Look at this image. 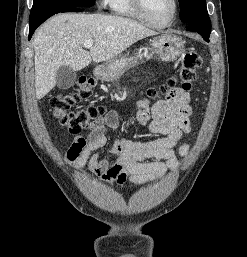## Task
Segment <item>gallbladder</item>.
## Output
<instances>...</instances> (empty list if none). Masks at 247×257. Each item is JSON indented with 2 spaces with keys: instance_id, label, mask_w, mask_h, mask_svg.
<instances>
[{
  "instance_id": "gallbladder-1",
  "label": "gallbladder",
  "mask_w": 247,
  "mask_h": 257,
  "mask_svg": "<svg viewBox=\"0 0 247 257\" xmlns=\"http://www.w3.org/2000/svg\"><path fill=\"white\" fill-rule=\"evenodd\" d=\"M77 74L68 66H61L56 73V85L59 89H68L74 85Z\"/></svg>"
}]
</instances>
